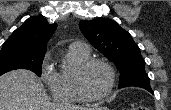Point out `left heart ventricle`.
I'll list each match as a JSON object with an SVG mask.
<instances>
[{
	"label": "left heart ventricle",
	"instance_id": "obj_1",
	"mask_svg": "<svg viewBox=\"0 0 171 110\" xmlns=\"http://www.w3.org/2000/svg\"><path fill=\"white\" fill-rule=\"evenodd\" d=\"M110 84V74L101 64L92 65L84 76V87L93 96L100 95Z\"/></svg>",
	"mask_w": 171,
	"mask_h": 110
}]
</instances>
